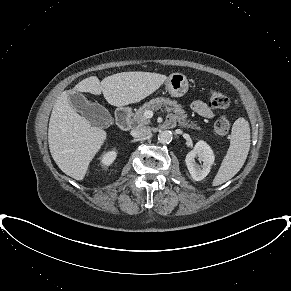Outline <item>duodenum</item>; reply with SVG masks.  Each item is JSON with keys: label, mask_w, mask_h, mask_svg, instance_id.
Returning <instances> with one entry per match:
<instances>
[{"label": "duodenum", "mask_w": 291, "mask_h": 291, "mask_svg": "<svg viewBox=\"0 0 291 291\" xmlns=\"http://www.w3.org/2000/svg\"><path fill=\"white\" fill-rule=\"evenodd\" d=\"M116 120L122 130H129L131 127L130 110L120 108L116 112Z\"/></svg>", "instance_id": "duodenum-1"}]
</instances>
